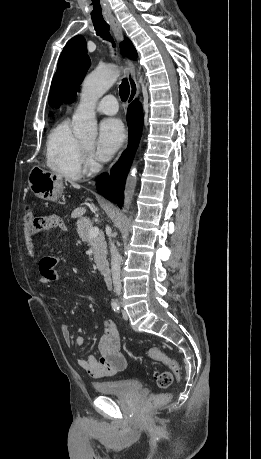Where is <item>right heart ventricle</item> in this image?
<instances>
[{
    "instance_id": "right-heart-ventricle-1",
    "label": "right heart ventricle",
    "mask_w": 261,
    "mask_h": 459,
    "mask_svg": "<svg viewBox=\"0 0 261 459\" xmlns=\"http://www.w3.org/2000/svg\"><path fill=\"white\" fill-rule=\"evenodd\" d=\"M84 152L81 142L73 135L68 120L58 123L49 133L45 157L50 170L67 179L76 180L82 175Z\"/></svg>"
}]
</instances>
